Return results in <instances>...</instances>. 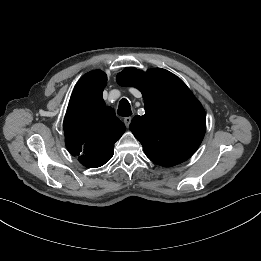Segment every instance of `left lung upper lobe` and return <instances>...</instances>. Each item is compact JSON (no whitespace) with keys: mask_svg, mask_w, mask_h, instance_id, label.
<instances>
[{"mask_svg":"<svg viewBox=\"0 0 261 261\" xmlns=\"http://www.w3.org/2000/svg\"><path fill=\"white\" fill-rule=\"evenodd\" d=\"M117 81L143 94L145 115L135 116L129 128L151 161L171 167L195 153L205 134L206 114L181 79L161 68L143 72L129 67Z\"/></svg>","mask_w":261,"mask_h":261,"instance_id":"left-lung-upper-lobe-1","label":"left lung upper lobe"}]
</instances>
